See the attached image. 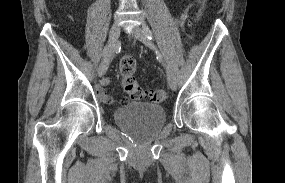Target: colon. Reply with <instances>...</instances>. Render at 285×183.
<instances>
[{
  "mask_svg": "<svg viewBox=\"0 0 285 183\" xmlns=\"http://www.w3.org/2000/svg\"><path fill=\"white\" fill-rule=\"evenodd\" d=\"M206 1L207 0H199L200 7L193 13L191 17L192 22L202 16L203 7ZM136 68V60L132 56L124 57L119 65L120 74L123 78L122 85L128 96L134 100H150L154 103L163 102L167 98L166 91L162 89H145L141 87L134 77ZM120 102L125 103L126 100L122 99Z\"/></svg>",
  "mask_w": 285,
  "mask_h": 183,
  "instance_id": "colon-1",
  "label": "colon"
}]
</instances>
